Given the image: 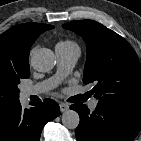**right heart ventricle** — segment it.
Wrapping results in <instances>:
<instances>
[{
    "label": "right heart ventricle",
    "mask_w": 141,
    "mask_h": 141,
    "mask_svg": "<svg viewBox=\"0 0 141 141\" xmlns=\"http://www.w3.org/2000/svg\"><path fill=\"white\" fill-rule=\"evenodd\" d=\"M57 46L66 47V48H69V47H78L75 42L70 41V40L61 41V42H59L57 44Z\"/></svg>",
    "instance_id": "1"
}]
</instances>
